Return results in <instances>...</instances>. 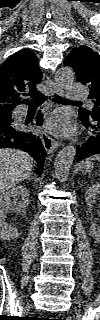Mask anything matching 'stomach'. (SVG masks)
<instances>
[{"label":"stomach","mask_w":100,"mask_h":320,"mask_svg":"<svg viewBox=\"0 0 100 320\" xmlns=\"http://www.w3.org/2000/svg\"><path fill=\"white\" fill-rule=\"evenodd\" d=\"M92 169H93V163L92 162L83 163L80 166V171L82 172V174L91 173Z\"/></svg>","instance_id":"1"}]
</instances>
